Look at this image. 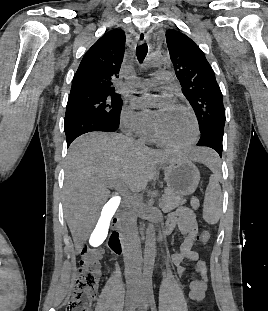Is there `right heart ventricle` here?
Here are the masks:
<instances>
[{
	"mask_svg": "<svg viewBox=\"0 0 268 311\" xmlns=\"http://www.w3.org/2000/svg\"><path fill=\"white\" fill-rule=\"evenodd\" d=\"M142 138L144 140H146V141H155V140H157L152 130H150V131L146 132L145 134H143Z\"/></svg>",
	"mask_w": 268,
	"mask_h": 311,
	"instance_id": "right-heart-ventricle-1",
	"label": "right heart ventricle"
}]
</instances>
